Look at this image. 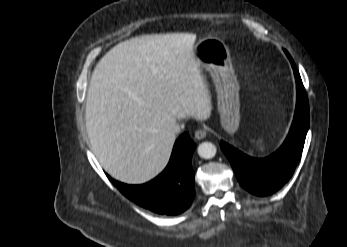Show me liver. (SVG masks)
I'll return each instance as SVG.
<instances>
[{"label":"liver","instance_id":"obj_1","mask_svg":"<svg viewBox=\"0 0 347 247\" xmlns=\"http://www.w3.org/2000/svg\"><path fill=\"white\" fill-rule=\"evenodd\" d=\"M195 34L142 35L110 49L88 88L85 125L93 153L115 179L143 184L167 165L169 126L210 116L211 95L193 57Z\"/></svg>","mask_w":347,"mask_h":247}]
</instances>
